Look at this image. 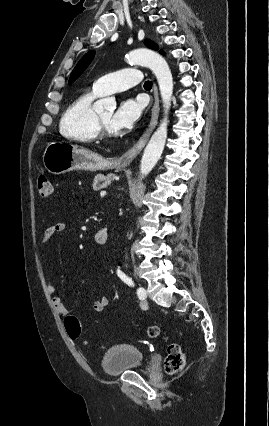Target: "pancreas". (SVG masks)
Instances as JSON below:
<instances>
[{"mask_svg": "<svg viewBox=\"0 0 269 426\" xmlns=\"http://www.w3.org/2000/svg\"><path fill=\"white\" fill-rule=\"evenodd\" d=\"M113 180V176L111 174L103 175L98 174L94 177L92 187L95 191L107 188L111 181Z\"/></svg>", "mask_w": 269, "mask_h": 426, "instance_id": "cf45deb5", "label": "pancreas"}]
</instances>
